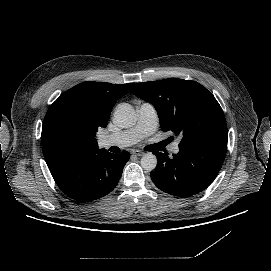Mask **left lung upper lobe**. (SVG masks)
<instances>
[{
	"label": "left lung upper lobe",
	"instance_id": "obj_1",
	"mask_svg": "<svg viewBox=\"0 0 271 271\" xmlns=\"http://www.w3.org/2000/svg\"><path fill=\"white\" fill-rule=\"evenodd\" d=\"M137 97L154 105L163 131L182 135L180 146L213 142L227 145V125L214 96L195 81L169 78L137 83Z\"/></svg>",
	"mask_w": 271,
	"mask_h": 271
}]
</instances>
